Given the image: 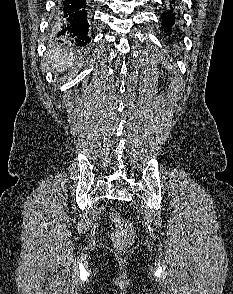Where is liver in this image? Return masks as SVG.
<instances>
[{
	"label": "liver",
	"mask_w": 233,
	"mask_h": 294,
	"mask_svg": "<svg viewBox=\"0 0 233 294\" xmlns=\"http://www.w3.org/2000/svg\"><path fill=\"white\" fill-rule=\"evenodd\" d=\"M47 58L52 66V70L63 72L72 66L74 62V54L72 51L65 52L59 48L48 49Z\"/></svg>",
	"instance_id": "6515ba94"
}]
</instances>
